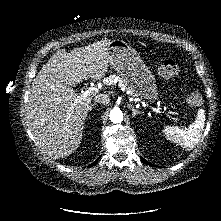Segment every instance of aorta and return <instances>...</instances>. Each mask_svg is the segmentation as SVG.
Instances as JSON below:
<instances>
[{
	"label": "aorta",
	"mask_w": 221,
	"mask_h": 221,
	"mask_svg": "<svg viewBox=\"0 0 221 221\" xmlns=\"http://www.w3.org/2000/svg\"><path fill=\"white\" fill-rule=\"evenodd\" d=\"M110 120L113 123H121L123 120V113L119 108H114L110 112Z\"/></svg>",
	"instance_id": "obj_1"
}]
</instances>
